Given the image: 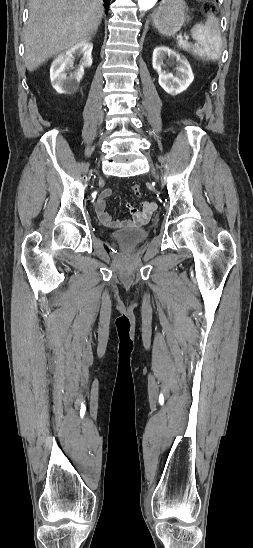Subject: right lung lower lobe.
Listing matches in <instances>:
<instances>
[{"label":"right lung lower lobe","instance_id":"98d812e1","mask_svg":"<svg viewBox=\"0 0 253 548\" xmlns=\"http://www.w3.org/2000/svg\"><path fill=\"white\" fill-rule=\"evenodd\" d=\"M103 1H104V3H105L106 8L108 9L110 0H103Z\"/></svg>","mask_w":253,"mask_h":548}]
</instances>
